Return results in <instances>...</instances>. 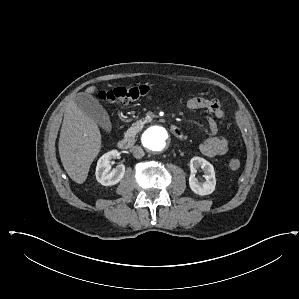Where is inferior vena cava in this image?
<instances>
[{"mask_svg":"<svg viewBox=\"0 0 299 299\" xmlns=\"http://www.w3.org/2000/svg\"><path fill=\"white\" fill-rule=\"evenodd\" d=\"M131 152H132L133 156L137 159H140L144 156V151L140 146H134L131 149Z\"/></svg>","mask_w":299,"mask_h":299,"instance_id":"602c4592","label":"inferior vena cava"}]
</instances>
